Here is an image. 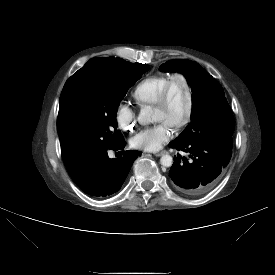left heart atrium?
Returning <instances> with one entry per match:
<instances>
[{
	"label": "left heart atrium",
	"mask_w": 275,
	"mask_h": 275,
	"mask_svg": "<svg viewBox=\"0 0 275 275\" xmlns=\"http://www.w3.org/2000/svg\"><path fill=\"white\" fill-rule=\"evenodd\" d=\"M171 130L172 126L168 123L160 122L154 126L140 130L132 137L131 143L135 148L157 151L169 141Z\"/></svg>",
	"instance_id": "1"
}]
</instances>
